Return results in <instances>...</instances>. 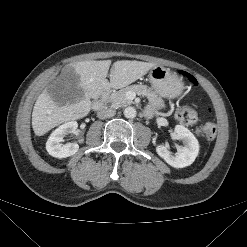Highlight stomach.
<instances>
[{"label":"stomach","mask_w":247,"mask_h":247,"mask_svg":"<svg viewBox=\"0 0 247 247\" xmlns=\"http://www.w3.org/2000/svg\"><path fill=\"white\" fill-rule=\"evenodd\" d=\"M148 78L154 90L162 97L173 99L182 93V81L162 66L153 67Z\"/></svg>","instance_id":"stomach-1"}]
</instances>
